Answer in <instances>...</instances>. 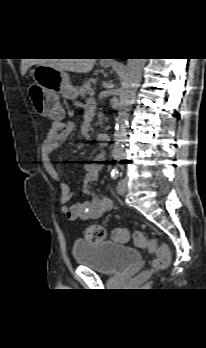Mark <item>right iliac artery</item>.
<instances>
[{
	"instance_id": "right-iliac-artery-1",
	"label": "right iliac artery",
	"mask_w": 206,
	"mask_h": 348,
	"mask_svg": "<svg viewBox=\"0 0 206 348\" xmlns=\"http://www.w3.org/2000/svg\"><path fill=\"white\" fill-rule=\"evenodd\" d=\"M112 176L114 179L118 177V170L116 168L112 171Z\"/></svg>"
}]
</instances>
